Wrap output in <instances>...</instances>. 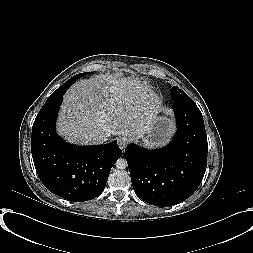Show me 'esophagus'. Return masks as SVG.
Listing matches in <instances>:
<instances>
[{
  "mask_svg": "<svg viewBox=\"0 0 253 253\" xmlns=\"http://www.w3.org/2000/svg\"><path fill=\"white\" fill-rule=\"evenodd\" d=\"M117 142H118L119 147L121 149H124L127 143L129 142V138L127 136H121L118 138Z\"/></svg>",
  "mask_w": 253,
  "mask_h": 253,
  "instance_id": "obj_1",
  "label": "esophagus"
}]
</instances>
